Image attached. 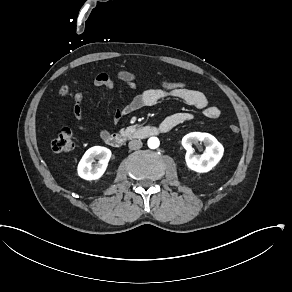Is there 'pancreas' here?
Returning a JSON list of instances; mask_svg holds the SVG:
<instances>
[{
  "instance_id": "obj_1",
  "label": "pancreas",
  "mask_w": 292,
  "mask_h": 292,
  "mask_svg": "<svg viewBox=\"0 0 292 292\" xmlns=\"http://www.w3.org/2000/svg\"><path fill=\"white\" fill-rule=\"evenodd\" d=\"M138 128H139V125H133L126 128H121L119 130V134L123 137H128V136H131L134 133V131Z\"/></svg>"
}]
</instances>
